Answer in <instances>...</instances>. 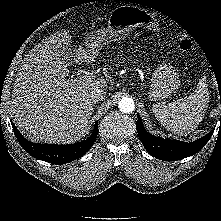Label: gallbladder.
Here are the masks:
<instances>
[{
	"label": "gallbladder",
	"mask_w": 221,
	"mask_h": 221,
	"mask_svg": "<svg viewBox=\"0 0 221 221\" xmlns=\"http://www.w3.org/2000/svg\"><path fill=\"white\" fill-rule=\"evenodd\" d=\"M59 55L64 59L67 64H71L72 62V54L68 47H61L59 49Z\"/></svg>",
	"instance_id": "1"
}]
</instances>
